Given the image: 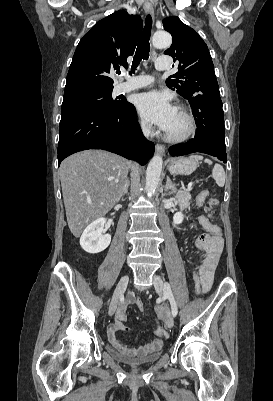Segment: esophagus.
<instances>
[{"instance_id": "1", "label": "esophagus", "mask_w": 273, "mask_h": 401, "mask_svg": "<svg viewBox=\"0 0 273 401\" xmlns=\"http://www.w3.org/2000/svg\"><path fill=\"white\" fill-rule=\"evenodd\" d=\"M144 10L146 13L153 15V7L150 3L144 4ZM155 150H156V153L163 154L165 152V146L157 143L155 146Z\"/></svg>"}]
</instances>
